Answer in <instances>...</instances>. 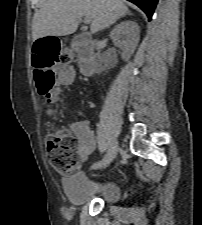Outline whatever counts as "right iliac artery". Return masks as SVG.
<instances>
[{
    "mask_svg": "<svg viewBox=\"0 0 202 225\" xmlns=\"http://www.w3.org/2000/svg\"><path fill=\"white\" fill-rule=\"evenodd\" d=\"M104 162H105V158H103L102 160H100V161L96 162L95 164H93L91 166V169H96V168H99V167L103 166Z\"/></svg>",
    "mask_w": 202,
    "mask_h": 225,
    "instance_id": "82829eb1",
    "label": "right iliac artery"
}]
</instances>
